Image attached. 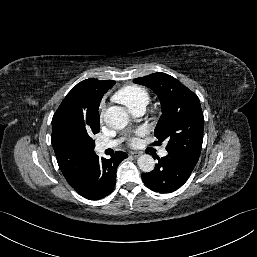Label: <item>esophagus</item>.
<instances>
[{"label": "esophagus", "instance_id": "obj_1", "mask_svg": "<svg viewBox=\"0 0 257 257\" xmlns=\"http://www.w3.org/2000/svg\"><path fill=\"white\" fill-rule=\"evenodd\" d=\"M129 154H130V156H133V157L137 158L141 155V152L131 151Z\"/></svg>", "mask_w": 257, "mask_h": 257}]
</instances>
